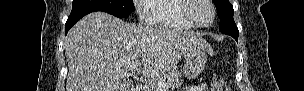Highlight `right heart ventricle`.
<instances>
[{"label":"right heart ventricle","instance_id":"1","mask_svg":"<svg viewBox=\"0 0 304 91\" xmlns=\"http://www.w3.org/2000/svg\"><path fill=\"white\" fill-rule=\"evenodd\" d=\"M184 0H152L147 5V12L151 18L152 26L176 29L191 30L194 26L189 23L183 13Z\"/></svg>","mask_w":304,"mask_h":91}]
</instances>
